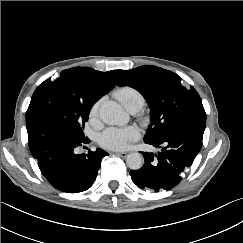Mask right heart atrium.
<instances>
[{
	"instance_id": "right-heart-atrium-1",
	"label": "right heart atrium",
	"mask_w": 243,
	"mask_h": 243,
	"mask_svg": "<svg viewBox=\"0 0 243 243\" xmlns=\"http://www.w3.org/2000/svg\"><path fill=\"white\" fill-rule=\"evenodd\" d=\"M100 101H96L92 107L90 108L89 111V118L90 120H95L98 117V113H99V107H100Z\"/></svg>"
}]
</instances>
